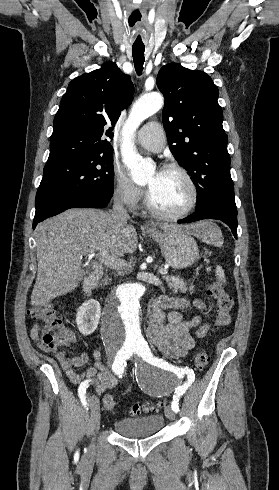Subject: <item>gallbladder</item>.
I'll use <instances>...</instances> for the list:
<instances>
[{"label": "gallbladder", "instance_id": "obj_1", "mask_svg": "<svg viewBox=\"0 0 279 490\" xmlns=\"http://www.w3.org/2000/svg\"><path fill=\"white\" fill-rule=\"evenodd\" d=\"M85 274H88L87 270H85Z\"/></svg>", "mask_w": 279, "mask_h": 490}]
</instances>
